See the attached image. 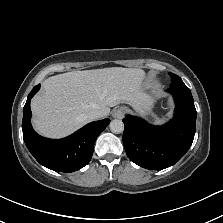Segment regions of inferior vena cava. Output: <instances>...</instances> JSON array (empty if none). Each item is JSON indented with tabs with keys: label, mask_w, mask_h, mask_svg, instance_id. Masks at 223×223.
Masks as SVG:
<instances>
[{
	"label": "inferior vena cava",
	"mask_w": 223,
	"mask_h": 223,
	"mask_svg": "<svg viewBox=\"0 0 223 223\" xmlns=\"http://www.w3.org/2000/svg\"><path fill=\"white\" fill-rule=\"evenodd\" d=\"M103 116L104 114L101 110H92L88 114L89 120H96V119L102 118Z\"/></svg>",
	"instance_id": "obj_1"
}]
</instances>
